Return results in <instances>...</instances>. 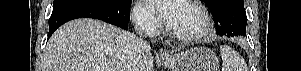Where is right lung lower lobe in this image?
Instances as JSON below:
<instances>
[{
	"label": "right lung lower lobe",
	"instance_id": "98d812e1",
	"mask_svg": "<svg viewBox=\"0 0 301 71\" xmlns=\"http://www.w3.org/2000/svg\"><path fill=\"white\" fill-rule=\"evenodd\" d=\"M130 4L117 6L89 1H74L53 7L48 39L58 27L76 18H94L127 29L130 20Z\"/></svg>",
	"mask_w": 301,
	"mask_h": 71
}]
</instances>
